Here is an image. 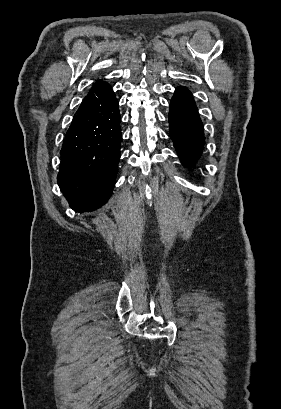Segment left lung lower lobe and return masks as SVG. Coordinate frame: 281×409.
I'll list each match as a JSON object with an SVG mask.
<instances>
[{
    "label": "left lung lower lobe",
    "instance_id": "left-lung-lower-lobe-1",
    "mask_svg": "<svg viewBox=\"0 0 281 409\" xmlns=\"http://www.w3.org/2000/svg\"><path fill=\"white\" fill-rule=\"evenodd\" d=\"M169 135L182 164L194 168L205 144L203 124L192 93L178 87L169 109Z\"/></svg>",
    "mask_w": 281,
    "mask_h": 409
}]
</instances>
